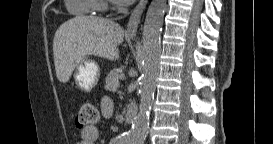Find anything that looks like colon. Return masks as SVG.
I'll list each match as a JSON object with an SVG mask.
<instances>
[{
	"label": "colon",
	"instance_id": "5ec220e1",
	"mask_svg": "<svg viewBox=\"0 0 273 144\" xmlns=\"http://www.w3.org/2000/svg\"><path fill=\"white\" fill-rule=\"evenodd\" d=\"M98 119V110L92 101L81 102L76 116V126L80 129L92 126Z\"/></svg>",
	"mask_w": 273,
	"mask_h": 144
}]
</instances>
